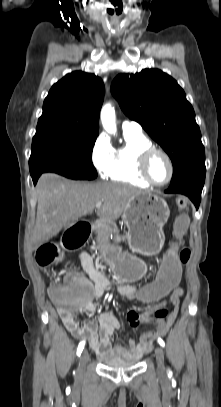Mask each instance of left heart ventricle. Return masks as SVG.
Here are the masks:
<instances>
[{"instance_id": "b2bd125f", "label": "left heart ventricle", "mask_w": 221, "mask_h": 407, "mask_svg": "<svg viewBox=\"0 0 221 407\" xmlns=\"http://www.w3.org/2000/svg\"><path fill=\"white\" fill-rule=\"evenodd\" d=\"M169 172V164L166 158L161 154L154 155L149 163V173L152 179L162 183L169 177Z\"/></svg>"}]
</instances>
